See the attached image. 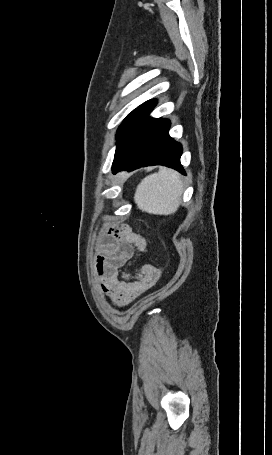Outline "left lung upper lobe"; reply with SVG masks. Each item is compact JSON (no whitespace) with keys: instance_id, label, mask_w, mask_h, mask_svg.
<instances>
[{"instance_id":"5c2ea615","label":"left lung upper lobe","mask_w":272,"mask_h":455,"mask_svg":"<svg viewBox=\"0 0 272 455\" xmlns=\"http://www.w3.org/2000/svg\"><path fill=\"white\" fill-rule=\"evenodd\" d=\"M149 102H145L143 103L142 105H140L139 107H137L135 110H133L126 118L125 120L123 121V123L121 124V126L119 127V130L117 132V134L120 133V131L122 130V128L125 126V124L140 110L142 109L146 104H148Z\"/></svg>"}]
</instances>
